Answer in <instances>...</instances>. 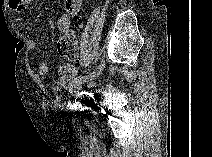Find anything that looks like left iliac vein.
<instances>
[{"label":"left iliac vein","instance_id":"left-iliac-vein-1","mask_svg":"<svg viewBox=\"0 0 212 157\" xmlns=\"http://www.w3.org/2000/svg\"><path fill=\"white\" fill-rule=\"evenodd\" d=\"M82 88L81 84L75 85L72 89H70L71 95H76Z\"/></svg>","mask_w":212,"mask_h":157}]
</instances>
